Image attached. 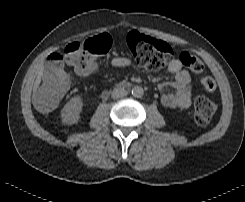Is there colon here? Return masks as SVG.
Here are the masks:
<instances>
[{"mask_svg":"<svg viewBox=\"0 0 245 202\" xmlns=\"http://www.w3.org/2000/svg\"><path fill=\"white\" fill-rule=\"evenodd\" d=\"M129 54L137 66L152 71L163 69L169 62L178 58L193 73L200 74L204 70L203 63L195 56L183 52L175 54L172 47L161 40L130 32L126 37ZM112 44V37L106 33L91 37L84 43H70L64 53H53L48 57L40 96L46 109L51 110L64 96L71 85V70L76 73L86 71L90 65V54H105ZM64 64L68 68H64ZM203 88L212 93L216 83L210 76L200 79ZM217 104L209 98L200 97L194 106L195 120L200 125L209 123L217 111Z\"/></svg>","mask_w":245,"mask_h":202,"instance_id":"colon-1","label":"colon"}]
</instances>
